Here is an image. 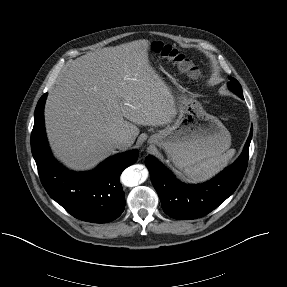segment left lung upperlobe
<instances>
[{
	"instance_id": "5c2ea615",
	"label": "left lung upper lobe",
	"mask_w": 287,
	"mask_h": 287,
	"mask_svg": "<svg viewBox=\"0 0 287 287\" xmlns=\"http://www.w3.org/2000/svg\"><path fill=\"white\" fill-rule=\"evenodd\" d=\"M229 88L233 92H235L240 98L243 97L242 87L236 79L231 78V81L229 83Z\"/></svg>"
}]
</instances>
